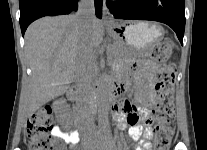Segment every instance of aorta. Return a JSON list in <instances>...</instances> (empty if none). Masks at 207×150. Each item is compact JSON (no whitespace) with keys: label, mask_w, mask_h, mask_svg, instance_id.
<instances>
[{"label":"aorta","mask_w":207,"mask_h":150,"mask_svg":"<svg viewBox=\"0 0 207 150\" xmlns=\"http://www.w3.org/2000/svg\"><path fill=\"white\" fill-rule=\"evenodd\" d=\"M97 100L101 111H106L108 108V96L105 83L100 80L97 86Z\"/></svg>","instance_id":"obj_1"}]
</instances>
